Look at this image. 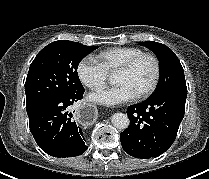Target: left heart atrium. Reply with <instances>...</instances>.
I'll return each instance as SVG.
<instances>
[{
  "instance_id": "1",
  "label": "left heart atrium",
  "mask_w": 209,
  "mask_h": 179,
  "mask_svg": "<svg viewBox=\"0 0 209 179\" xmlns=\"http://www.w3.org/2000/svg\"><path fill=\"white\" fill-rule=\"evenodd\" d=\"M135 94L124 84H117L114 87L94 92L90 99L96 103L113 106L132 100Z\"/></svg>"
}]
</instances>
